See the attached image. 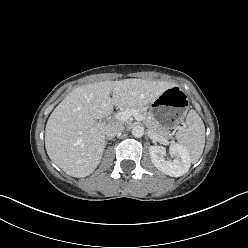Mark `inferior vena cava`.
I'll use <instances>...</instances> for the list:
<instances>
[{"instance_id": "1", "label": "inferior vena cava", "mask_w": 248, "mask_h": 248, "mask_svg": "<svg viewBox=\"0 0 248 248\" xmlns=\"http://www.w3.org/2000/svg\"><path fill=\"white\" fill-rule=\"evenodd\" d=\"M124 130V127L119 123H109L105 126L104 133L107 138L115 137L121 134Z\"/></svg>"}]
</instances>
